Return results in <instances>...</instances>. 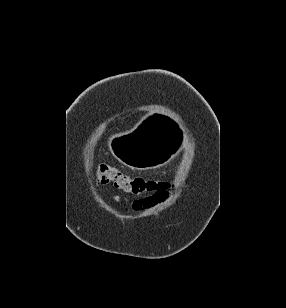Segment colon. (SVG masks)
Masks as SVG:
<instances>
[{
    "label": "colon",
    "instance_id": "colon-1",
    "mask_svg": "<svg viewBox=\"0 0 286 308\" xmlns=\"http://www.w3.org/2000/svg\"><path fill=\"white\" fill-rule=\"evenodd\" d=\"M96 182L102 185H112L114 188L135 196L162 195L168 184L158 180H148L142 177H132L115 166L102 164L95 172Z\"/></svg>",
    "mask_w": 286,
    "mask_h": 308
}]
</instances>
